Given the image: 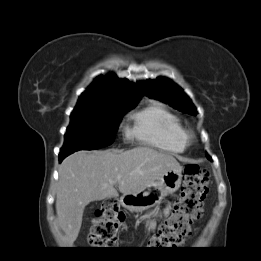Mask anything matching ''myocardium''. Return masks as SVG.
<instances>
[{
  "instance_id": "1",
  "label": "myocardium",
  "mask_w": 261,
  "mask_h": 261,
  "mask_svg": "<svg viewBox=\"0 0 261 261\" xmlns=\"http://www.w3.org/2000/svg\"><path fill=\"white\" fill-rule=\"evenodd\" d=\"M185 139H186V142L187 141L189 142L192 139V135L190 133L186 132L185 133Z\"/></svg>"
}]
</instances>
